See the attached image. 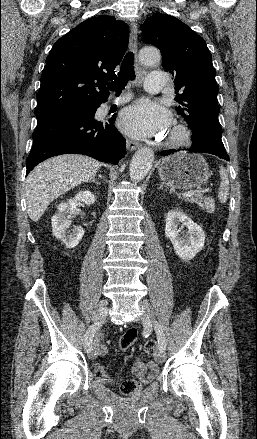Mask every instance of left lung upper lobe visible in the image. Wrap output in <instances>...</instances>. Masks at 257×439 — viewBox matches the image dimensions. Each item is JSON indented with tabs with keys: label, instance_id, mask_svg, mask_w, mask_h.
I'll return each instance as SVG.
<instances>
[{
	"label": "left lung upper lobe",
	"instance_id": "5c2ea615",
	"mask_svg": "<svg viewBox=\"0 0 257 439\" xmlns=\"http://www.w3.org/2000/svg\"><path fill=\"white\" fill-rule=\"evenodd\" d=\"M142 39L160 49L165 71L173 76L177 112L192 129L193 144L224 146L218 120V86L205 40L179 19L155 13L141 25Z\"/></svg>",
	"mask_w": 257,
	"mask_h": 439
}]
</instances>
